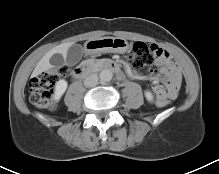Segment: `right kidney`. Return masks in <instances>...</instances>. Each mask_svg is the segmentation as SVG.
I'll return each instance as SVG.
<instances>
[{
  "mask_svg": "<svg viewBox=\"0 0 219 174\" xmlns=\"http://www.w3.org/2000/svg\"><path fill=\"white\" fill-rule=\"evenodd\" d=\"M67 87H68L67 81L63 79L57 81L54 90V99L59 100L62 97V95L65 93Z\"/></svg>",
  "mask_w": 219,
  "mask_h": 174,
  "instance_id": "ca27d5eb",
  "label": "right kidney"
}]
</instances>
